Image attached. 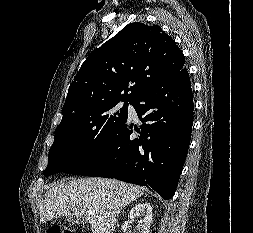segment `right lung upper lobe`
Here are the masks:
<instances>
[{
	"instance_id": "cb5924a9",
	"label": "right lung upper lobe",
	"mask_w": 253,
	"mask_h": 233,
	"mask_svg": "<svg viewBox=\"0 0 253 233\" xmlns=\"http://www.w3.org/2000/svg\"><path fill=\"white\" fill-rule=\"evenodd\" d=\"M184 64L182 51L159 26L130 23L82 64L69 87L63 117L104 100L133 101Z\"/></svg>"
}]
</instances>
